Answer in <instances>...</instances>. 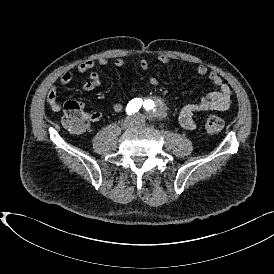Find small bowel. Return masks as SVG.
<instances>
[{
    "label": "small bowel",
    "mask_w": 274,
    "mask_h": 274,
    "mask_svg": "<svg viewBox=\"0 0 274 274\" xmlns=\"http://www.w3.org/2000/svg\"><path fill=\"white\" fill-rule=\"evenodd\" d=\"M158 61L167 65L170 63V58L161 54L158 56ZM110 64V61L107 58L101 57L98 60H86L81 62L76 71L79 74L88 73V80L85 81L81 88L84 91H93L97 89L101 83L102 79L100 74L94 70L96 65H100L103 67H107ZM114 66L117 68H123L132 63L124 58H117L113 62ZM138 65L141 70H148L150 68V62L148 58H142L138 62ZM197 74L200 77H207L209 82L215 87V90L197 102H191L183 105L179 109V122L181 126L189 131H193L196 129V121L194 116L200 113L208 112V111H223L228 109L231 103L232 91L228 85H226L221 76L215 72L210 71L206 65L199 64L197 66ZM73 79V75L71 72L67 71L60 77V85L65 86L69 84ZM148 84L153 87H157L159 85V81L155 77H151L148 79ZM47 101L54 111L61 110V104L57 101V89L55 86H52L47 94ZM112 109L114 112L120 113L124 110V106L121 103H114L112 105ZM89 121L87 123L88 131L94 124L100 122L103 118V114L100 111H91L88 113ZM85 131V132H86Z\"/></svg>",
    "instance_id": "c3829d8e"
}]
</instances>
